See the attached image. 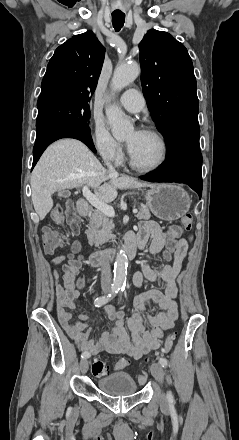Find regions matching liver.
<instances>
[{"mask_svg":"<svg viewBox=\"0 0 239 440\" xmlns=\"http://www.w3.org/2000/svg\"><path fill=\"white\" fill-rule=\"evenodd\" d=\"M79 186H90L101 202L109 204L117 198V190L151 188L153 184H142L129 176L118 178V174H110L105 170L82 142L70 138L58 140L45 150L31 174V198L40 220H44L52 210L54 192L66 188L72 190Z\"/></svg>","mask_w":239,"mask_h":440,"instance_id":"obj_1","label":"liver"}]
</instances>
